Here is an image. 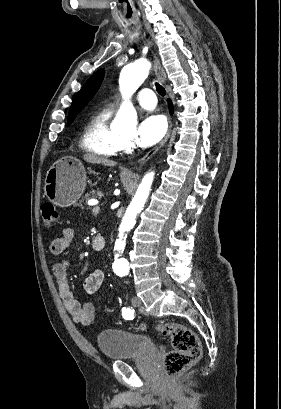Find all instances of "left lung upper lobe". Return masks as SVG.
Segmentation results:
<instances>
[{"label":"left lung upper lobe","instance_id":"5c2ea615","mask_svg":"<svg viewBox=\"0 0 281 409\" xmlns=\"http://www.w3.org/2000/svg\"><path fill=\"white\" fill-rule=\"evenodd\" d=\"M104 77V70L95 72L82 86L81 90L74 97L69 109L68 124L72 123L76 115L87 105L94 94L99 89Z\"/></svg>","mask_w":281,"mask_h":409}]
</instances>
